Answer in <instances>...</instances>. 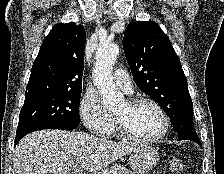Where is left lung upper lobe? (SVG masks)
I'll use <instances>...</instances> for the list:
<instances>
[{
	"label": "left lung upper lobe",
	"instance_id": "1",
	"mask_svg": "<svg viewBox=\"0 0 224 174\" xmlns=\"http://www.w3.org/2000/svg\"><path fill=\"white\" fill-rule=\"evenodd\" d=\"M123 48L135 83L163 108L173 129L193 125V104L181 62L159 25L153 21L129 24Z\"/></svg>",
	"mask_w": 224,
	"mask_h": 174
}]
</instances>
